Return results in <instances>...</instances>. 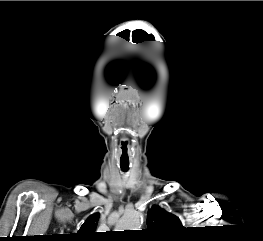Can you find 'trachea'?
<instances>
[{"label": "trachea", "instance_id": "3493384b", "mask_svg": "<svg viewBox=\"0 0 263 241\" xmlns=\"http://www.w3.org/2000/svg\"><path fill=\"white\" fill-rule=\"evenodd\" d=\"M122 170H123L124 172H126V171H127V168H122Z\"/></svg>", "mask_w": 263, "mask_h": 241}]
</instances>
